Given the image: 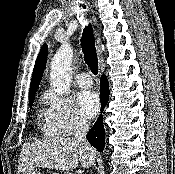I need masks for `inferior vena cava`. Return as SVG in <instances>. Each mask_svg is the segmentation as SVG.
<instances>
[{
  "label": "inferior vena cava",
  "mask_w": 175,
  "mask_h": 174,
  "mask_svg": "<svg viewBox=\"0 0 175 174\" xmlns=\"http://www.w3.org/2000/svg\"><path fill=\"white\" fill-rule=\"evenodd\" d=\"M88 130H89V122L84 119H79L76 122L75 136L73 139L76 143L82 144L83 146H85L87 149L91 150L94 153V150L90 145H88L86 140V134Z\"/></svg>",
  "instance_id": "1"
}]
</instances>
